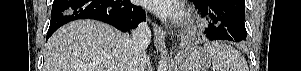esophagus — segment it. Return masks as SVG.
I'll list each match as a JSON object with an SVG mask.
<instances>
[{
	"instance_id": "obj_1",
	"label": "esophagus",
	"mask_w": 301,
	"mask_h": 71,
	"mask_svg": "<svg viewBox=\"0 0 301 71\" xmlns=\"http://www.w3.org/2000/svg\"><path fill=\"white\" fill-rule=\"evenodd\" d=\"M154 42L158 51L162 52L165 47V31L153 23Z\"/></svg>"
}]
</instances>
